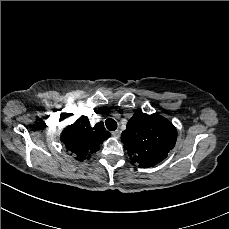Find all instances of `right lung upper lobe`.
Listing matches in <instances>:
<instances>
[{
  "mask_svg": "<svg viewBox=\"0 0 229 229\" xmlns=\"http://www.w3.org/2000/svg\"><path fill=\"white\" fill-rule=\"evenodd\" d=\"M110 136L103 122L97 123L92 128L88 118L82 116L73 125L64 129L61 141L76 159L83 161L85 158L89 159L91 153L99 150L100 144Z\"/></svg>",
  "mask_w": 229,
  "mask_h": 229,
  "instance_id": "cb5924a9",
  "label": "right lung upper lobe"
}]
</instances>
